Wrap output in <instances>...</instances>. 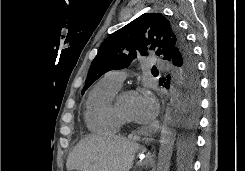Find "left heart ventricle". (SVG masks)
Listing matches in <instances>:
<instances>
[{"label":"left heart ventricle","mask_w":245,"mask_h":171,"mask_svg":"<svg viewBox=\"0 0 245 171\" xmlns=\"http://www.w3.org/2000/svg\"><path fill=\"white\" fill-rule=\"evenodd\" d=\"M136 97L137 95H126L122 97L119 101V108L121 112L131 120H134L133 110H134Z\"/></svg>","instance_id":"obj_1"}]
</instances>
